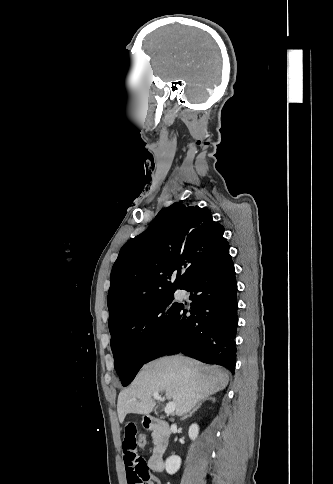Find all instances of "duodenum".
<instances>
[{
  "mask_svg": "<svg viewBox=\"0 0 333 484\" xmlns=\"http://www.w3.org/2000/svg\"><path fill=\"white\" fill-rule=\"evenodd\" d=\"M143 425L146 429L153 430L159 435V440L150 458V467L155 472H162L164 469L162 456L168 445V437L171 433L170 426L167 422L155 417H146Z\"/></svg>",
  "mask_w": 333,
  "mask_h": 484,
  "instance_id": "obj_1",
  "label": "duodenum"
}]
</instances>
